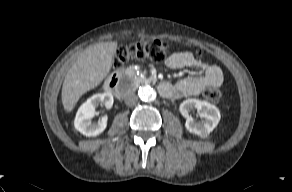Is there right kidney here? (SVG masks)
Listing matches in <instances>:
<instances>
[{
  "mask_svg": "<svg viewBox=\"0 0 292 192\" xmlns=\"http://www.w3.org/2000/svg\"><path fill=\"white\" fill-rule=\"evenodd\" d=\"M113 101L114 99L110 92L95 94L87 99L76 113L75 129L88 137L101 134L106 129L107 117H102L98 122H93L92 119L96 114V107L99 104H103L109 109L112 107Z\"/></svg>",
  "mask_w": 292,
  "mask_h": 192,
  "instance_id": "obj_1",
  "label": "right kidney"
}]
</instances>
